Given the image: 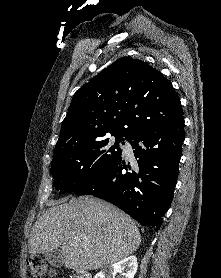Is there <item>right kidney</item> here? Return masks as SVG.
<instances>
[{"label":"right kidney","mask_w":221,"mask_h":278,"mask_svg":"<svg viewBox=\"0 0 221 278\" xmlns=\"http://www.w3.org/2000/svg\"><path fill=\"white\" fill-rule=\"evenodd\" d=\"M137 266V258L132 255L117 263L104 267L94 278H115L117 273H119L120 278H134Z\"/></svg>","instance_id":"1"}]
</instances>
